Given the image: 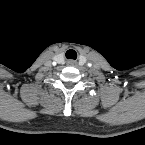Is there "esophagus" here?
<instances>
[{
	"label": "esophagus",
	"mask_w": 145,
	"mask_h": 145,
	"mask_svg": "<svg viewBox=\"0 0 145 145\" xmlns=\"http://www.w3.org/2000/svg\"><path fill=\"white\" fill-rule=\"evenodd\" d=\"M67 64H68L69 66H74V65H76V61H74V60H68V61H67Z\"/></svg>",
	"instance_id": "esophagus-1"
}]
</instances>
